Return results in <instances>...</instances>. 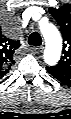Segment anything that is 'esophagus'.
Segmentation results:
<instances>
[{"mask_svg": "<svg viewBox=\"0 0 71 119\" xmlns=\"http://www.w3.org/2000/svg\"><path fill=\"white\" fill-rule=\"evenodd\" d=\"M43 48H44L43 46L32 47L31 52L34 54H39L42 52Z\"/></svg>", "mask_w": 71, "mask_h": 119, "instance_id": "obj_1", "label": "esophagus"}]
</instances>
